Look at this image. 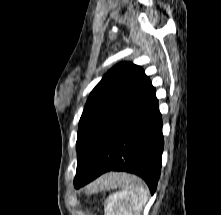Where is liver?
I'll return each instance as SVG.
<instances>
[{
	"mask_svg": "<svg viewBox=\"0 0 221 215\" xmlns=\"http://www.w3.org/2000/svg\"><path fill=\"white\" fill-rule=\"evenodd\" d=\"M110 177H111V174H108V175H105L103 177H101L95 184L96 185H104V184H107L109 181H110Z\"/></svg>",
	"mask_w": 221,
	"mask_h": 215,
	"instance_id": "obj_1",
	"label": "liver"
}]
</instances>
